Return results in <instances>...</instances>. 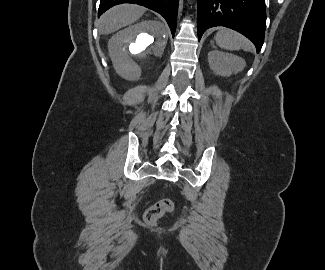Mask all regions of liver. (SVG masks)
Wrapping results in <instances>:
<instances>
[{
    "mask_svg": "<svg viewBox=\"0 0 325 270\" xmlns=\"http://www.w3.org/2000/svg\"><path fill=\"white\" fill-rule=\"evenodd\" d=\"M145 8L134 4L115 6L106 11L99 20V32L110 34L137 21Z\"/></svg>",
    "mask_w": 325,
    "mask_h": 270,
    "instance_id": "1",
    "label": "liver"
}]
</instances>
